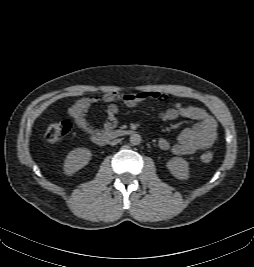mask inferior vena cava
<instances>
[{
    "mask_svg": "<svg viewBox=\"0 0 254 267\" xmlns=\"http://www.w3.org/2000/svg\"><path fill=\"white\" fill-rule=\"evenodd\" d=\"M117 143H119V140L118 139H115V140H113V141H111V145H116Z\"/></svg>",
    "mask_w": 254,
    "mask_h": 267,
    "instance_id": "1",
    "label": "inferior vena cava"
}]
</instances>
